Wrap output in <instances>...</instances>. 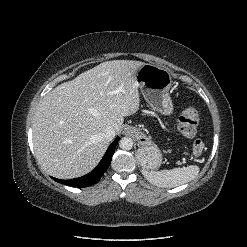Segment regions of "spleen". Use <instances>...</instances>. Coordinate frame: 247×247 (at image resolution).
Wrapping results in <instances>:
<instances>
[{
  "instance_id": "3e777b00",
  "label": "spleen",
  "mask_w": 247,
  "mask_h": 247,
  "mask_svg": "<svg viewBox=\"0 0 247 247\" xmlns=\"http://www.w3.org/2000/svg\"><path fill=\"white\" fill-rule=\"evenodd\" d=\"M199 167L189 165L171 170L145 171L147 180L159 187L172 188L190 182L199 174Z\"/></svg>"
}]
</instances>
